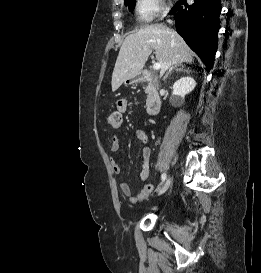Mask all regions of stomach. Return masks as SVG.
I'll return each instance as SVG.
<instances>
[{"mask_svg":"<svg viewBox=\"0 0 261 273\" xmlns=\"http://www.w3.org/2000/svg\"><path fill=\"white\" fill-rule=\"evenodd\" d=\"M141 80L140 76H136L135 78L133 79H128L125 81V83H135V82H139Z\"/></svg>","mask_w":261,"mask_h":273,"instance_id":"1","label":"stomach"}]
</instances>
